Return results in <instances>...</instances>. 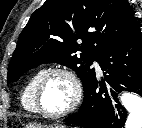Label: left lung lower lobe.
Returning a JSON list of instances; mask_svg holds the SVG:
<instances>
[{"mask_svg":"<svg viewBox=\"0 0 142 128\" xmlns=\"http://www.w3.org/2000/svg\"><path fill=\"white\" fill-rule=\"evenodd\" d=\"M97 61L104 71V79L98 83L94 74L84 89V100L78 113L63 121L84 128H122L127 112L119 104L117 92L127 90L142 96L140 28L111 44Z\"/></svg>","mask_w":142,"mask_h":128,"instance_id":"obj_1","label":"left lung lower lobe"}]
</instances>
